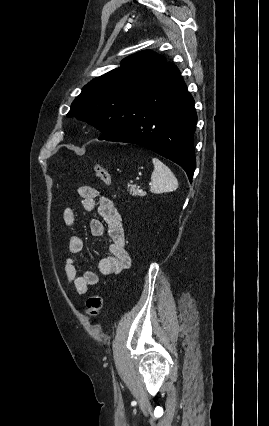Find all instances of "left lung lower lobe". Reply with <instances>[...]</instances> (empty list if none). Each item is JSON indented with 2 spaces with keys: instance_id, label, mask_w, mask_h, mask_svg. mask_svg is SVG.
<instances>
[{
  "instance_id": "left-lung-lower-lobe-1",
  "label": "left lung lower lobe",
  "mask_w": 269,
  "mask_h": 426,
  "mask_svg": "<svg viewBox=\"0 0 269 426\" xmlns=\"http://www.w3.org/2000/svg\"><path fill=\"white\" fill-rule=\"evenodd\" d=\"M196 122L193 97L178 68L167 62L147 87L133 95L112 136L99 140L146 147L180 165L191 182Z\"/></svg>"
}]
</instances>
